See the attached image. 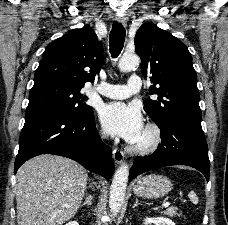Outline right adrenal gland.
I'll use <instances>...</instances> for the list:
<instances>
[{"instance_id":"2a0ac1e0","label":"right adrenal gland","mask_w":228,"mask_h":225,"mask_svg":"<svg viewBox=\"0 0 228 225\" xmlns=\"http://www.w3.org/2000/svg\"><path fill=\"white\" fill-rule=\"evenodd\" d=\"M92 201H93V197H91V195H87L83 205H92ZM83 205H81V207H83Z\"/></svg>"}]
</instances>
